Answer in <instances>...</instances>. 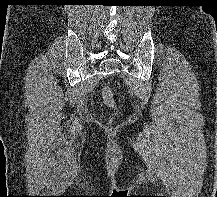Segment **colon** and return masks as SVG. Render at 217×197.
<instances>
[{
  "instance_id": "colon-1",
  "label": "colon",
  "mask_w": 217,
  "mask_h": 197,
  "mask_svg": "<svg viewBox=\"0 0 217 197\" xmlns=\"http://www.w3.org/2000/svg\"><path fill=\"white\" fill-rule=\"evenodd\" d=\"M102 98H103V102L106 106H108V107H114L115 106L114 96H113L112 90L109 86H106L103 88Z\"/></svg>"
}]
</instances>
